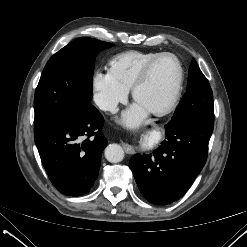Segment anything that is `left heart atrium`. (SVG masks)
I'll return each instance as SVG.
<instances>
[{
  "label": "left heart atrium",
  "instance_id": "39dd6f15",
  "mask_svg": "<svg viewBox=\"0 0 247 247\" xmlns=\"http://www.w3.org/2000/svg\"><path fill=\"white\" fill-rule=\"evenodd\" d=\"M148 110L139 103L132 105L121 117V122L127 126H136L147 116Z\"/></svg>",
  "mask_w": 247,
  "mask_h": 247
}]
</instances>
